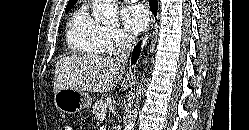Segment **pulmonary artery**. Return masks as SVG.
I'll list each match as a JSON object with an SVG mask.
<instances>
[{"label":"pulmonary artery","instance_id":"pulmonary-artery-1","mask_svg":"<svg viewBox=\"0 0 249 130\" xmlns=\"http://www.w3.org/2000/svg\"><path fill=\"white\" fill-rule=\"evenodd\" d=\"M125 1H127V2H135L137 0H125Z\"/></svg>","mask_w":249,"mask_h":130}]
</instances>
